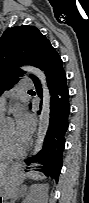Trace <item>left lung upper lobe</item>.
<instances>
[{
  "label": "left lung upper lobe",
  "instance_id": "5c2ea615",
  "mask_svg": "<svg viewBox=\"0 0 89 203\" xmlns=\"http://www.w3.org/2000/svg\"><path fill=\"white\" fill-rule=\"evenodd\" d=\"M49 40L34 26L21 25L7 29L0 38V94L17 83L25 71L22 65L40 68ZM34 80V76L30 75Z\"/></svg>",
  "mask_w": 89,
  "mask_h": 203
}]
</instances>
